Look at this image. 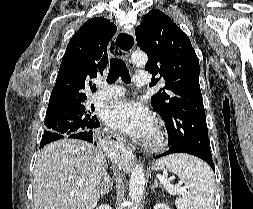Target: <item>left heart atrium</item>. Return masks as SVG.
<instances>
[{
  "instance_id": "1",
  "label": "left heart atrium",
  "mask_w": 253,
  "mask_h": 209,
  "mask_svg": "<svg viewBox=\"0 0 253 209\" xmlns=\"http://www.w3.org/2000/svg\"><path fill=\"white\" fill-rule=\"evenodd\" d=\"M101 116L109 127L135 138H145L154 129L150 112L132 100H121L107 105Z\"/></svg>"
}]
</instances>
